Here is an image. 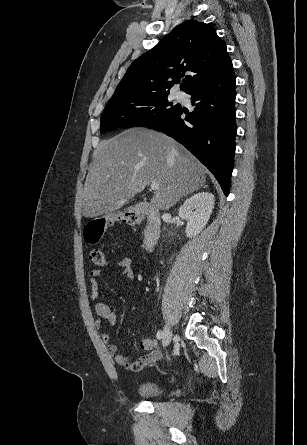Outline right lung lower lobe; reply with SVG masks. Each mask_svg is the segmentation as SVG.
<instances>
[{
    "label": "right lung lower lobe",
    "instance_id": "98d812e1",
    "mask_svg": "<svg viewBox=\"0 0 307 445\" xmlns=\"http://www.w3.org/2000/svg\"><path fill=\"white\" fill-rule=\"evenodd\" d=\"M235 74L232 62L216 75L189 89L196 106L184 119L178 107L146 126L183 144L216 177L227 196L235 155ZM186 113V112H185Z\"/></svg>",
    "mask_w": 307,
    "mask_h": 445
}]
</instances>
